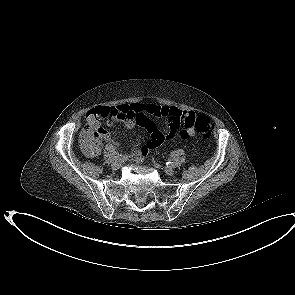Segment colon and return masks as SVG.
Masks as SVG:
<instances>
[{
    "instance_id": "colon-1",
    "label": "colon",
    "mask_w": 295,
    "mask_h": 295,
    "mask_svg": "<svg viewBox=\"0 0 295 295\" xmlns=\"http://www.w3.org/2000/svg\"><path fill=\"white\" fill-rule=\"evenodd\" d=\"M101 120V119H100ZM188 127H192L196 130V132L201 135L203 138H209L212 130L213 125L211 121L206 116H194L190 119V121L187 123ZM93 135H91L88 138H84L81 135V145L84 148V150H89L91 147V139Z\"/></svg>"
}]
</instances>
